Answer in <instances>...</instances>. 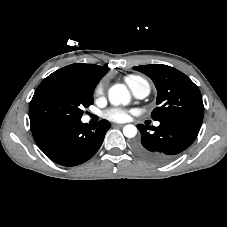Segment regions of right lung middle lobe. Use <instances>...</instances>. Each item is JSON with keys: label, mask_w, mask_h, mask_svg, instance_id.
Instances as JSON below:
<instances>
[{"label": "right lung middle lobe", "mask_w": 227, "mask_h": 227, "mask_svg": "<svg viewBox=\"0 0 227 227\" xmlns=\"http://www.w3.org/2000/svg\"><path fill=\"white\" fill-rule=\"evenodd\" d=\"M93 104V89L49 75L30 102L31 129L81 120L83 109Z\"/></svg>", "instance_id": "dd1d6c3e"}]
</instances>
